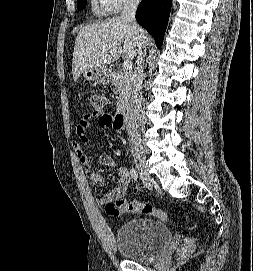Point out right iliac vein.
Returning <instances> with one entry per match:
<instances>
[{
    "label": "right iliac vein",
    "instance_id": "63e3f726",
    "mask_svg": "<svg viewBox=\"0 0 253 271\" xmlns=\"http://www.w3.org/2000/svg\"><path fill=\"white\" fill-rule=\"evenodd\" d=\"M134 162L144 182H151V177L146 166V157L143 150H138L133 153Z\"/></svg>",
    "mask_w": 253,
    "mask_h": 271
}]
</instances>
